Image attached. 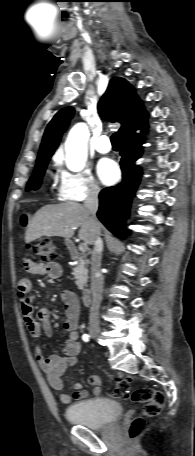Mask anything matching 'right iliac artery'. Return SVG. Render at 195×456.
Instances as JSON below:
<instances>
[{"label":"right iliac artery","instance_id":"obj_1","mask_svg":"<svg viewBox=\"0 0 195 456\" xmlns=\"http://www.w3.org/2000/svg\"><path fill=\"white\" fill-rule=\"evenodd\" d=\"M82 339H83V341L88 342L89 339H90V336H89L88 334H84V335L82 336Z\"/></svg>","mask_w":195,"mask_h":456}]
</instances>
